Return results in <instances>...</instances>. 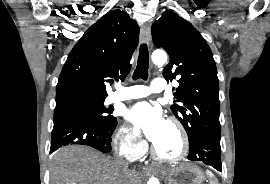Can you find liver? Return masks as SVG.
Segmentation results:
<instances>
[{"mask_svg":"<svg viewBox=\"0 0 270 184\" xmlns=\"http://www.w3.org/2000/svg\"><path fill=\"white\" fill-rule=\"evenodd\" d=\"M137 179L134 173L82 145L56 151L50 168V184H133Z\"/></svg>","mask_w":270,"mask_h":184,"instance_id":"liver-1","label":"liver"}]
</instances>
